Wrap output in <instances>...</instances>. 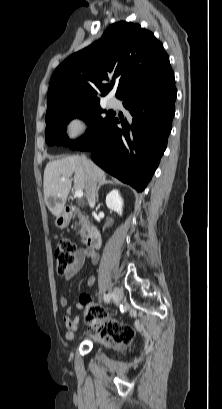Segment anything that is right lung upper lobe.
<instances>
[{"instance_id":"1","label":"right lung upper lobe","mask_w":222,"mask_h":409,"mask_svg":"<svg viewBox=\"0 0 222 409\" xmlns=\"http://www.w3.org/2000/svg\"><path fill=\"white\" fill-rule=\"evenodd\" d=\"M171 72L169 57L154 34L139 24L120 21L56 68L49 85L47 112L71 104L99 102L90 82L105 96L118 78L116 97L123 100L159 89L162 81L158 77ZM109 78L111 84H105Z\"/></svg>"}]
</instances>
